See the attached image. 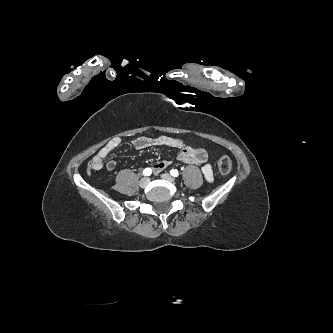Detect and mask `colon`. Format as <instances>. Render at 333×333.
<instances>
[{"instance_id":"5ec220e1","label":"colon","mask_w":333,"mask_h":333,"mask_svg":"<svg viewBox=\"0 0 333 333\" xmlns=\"http://www.w3.org/2000/svg\"><path fill=\"white\" fill-rule=\"evenodd\" d=\"M218 169L222 175H228L232 170V161L226 155H221L218 159Z\"/></svg>"}]
</instances>
